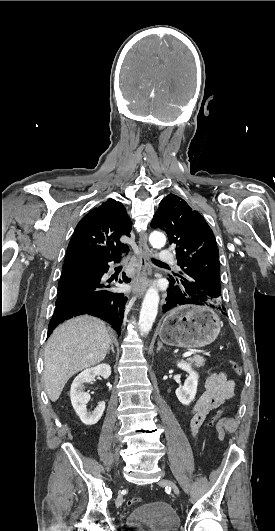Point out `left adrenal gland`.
<instances>
[{"label": "left adrenal gland", "instance_id": "obj_1", "mask_svg": "<svg viewBox=\"0 0 275 531\" xmlns=\"http://www.w3.org/2000/svg\"><path fill=\"white\" fill-rule=\"evenodd\" d=\"M158 347H157V353L158 351H160V349H164L163 347V343H157Z\"/></svg>", "mask_w": 275, "mask_h": 531}]
</instances>
